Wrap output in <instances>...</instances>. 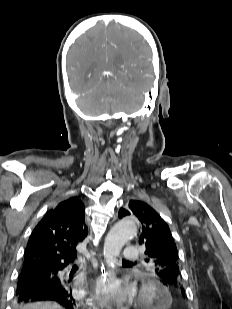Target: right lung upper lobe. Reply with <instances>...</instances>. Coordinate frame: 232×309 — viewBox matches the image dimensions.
Listing matches in <instances>:
<instances>
[{"label":"right lung upper lobe","instance_id":"right-lung-upper-lobe-1","mask_svg":"<svg viewBox=\"0 0 232 309\" xmlns=\"http://www.w3.org/2000/svg\"><path fill=\"white\" fill-rule=\"evenodd\" d=\"M84 215V205L75 197L49 210L29 237L24 263H36L38 269L72 263L77 256L76 245L87 236Z\"/></svg>","mask_w":232,"mask_h":309}]
</instances>
